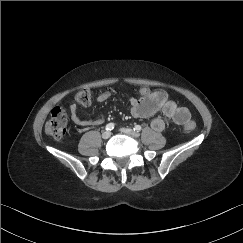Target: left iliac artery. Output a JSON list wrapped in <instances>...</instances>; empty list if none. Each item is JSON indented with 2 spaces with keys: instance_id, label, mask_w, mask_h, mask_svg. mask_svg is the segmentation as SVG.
Wrapping results in <instances>:
<instances>
[{
  "instance_id": "44dca946",
  "label": "left iliac artery",
  "mask_w": 243,
  "mask_h": 243,
  "mask_svg": "<svg viewBox=\"0 0 243 243\" xmlns=\"http://www.w3.org/2000/svg\"><path fill=\"white\" fill-rule=\"evenodd\" d=\"M135 131L139 132L141 130V126L140 125H136L134 128Z\"/></svg>"
}]
</instances>
